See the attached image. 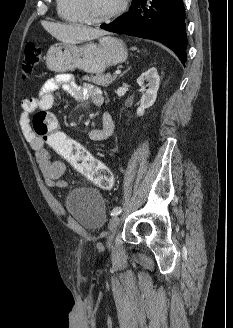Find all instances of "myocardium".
Masks as SVG:
<instances>
[{"mask_svg":"<svg viewBox=\"0 0 233 328\" xmlns=\"http://www.w3.org/2000/svg\"><path fill=\"white\" fill-rule=\"evenodd\" d=\"M77 2L86 23L94 25L110 22L114 18L120 16L127 8V0H121L116 9L104 16L96 17L90 14L88 0H77Z\"/></svg>","mask_w":233,"mask_h":328,"instance_id":"myocardium-1","label":"myocardium"}]
</instances>
